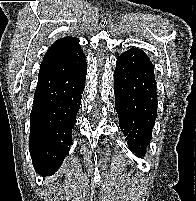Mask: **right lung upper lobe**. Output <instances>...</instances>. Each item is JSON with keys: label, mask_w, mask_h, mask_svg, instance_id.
I'll list each match as a JSON object with an SVG mask.
<instances>
[{"label": "right lung upper lobe", "mask_w": 196, "mask_h": 201, "mask_svg": "<svg viewBox=\"0 0 196 201\" xmlns=\"http://www.w3.org/2000/svg\"><path fill=\"white\" fill-rule=\"evenodd\" d=\"M85 54L79 45V40L70 36L55 41L46 52L43 61L68 59L82 60ZM42 61V62H43Z\"/></svg>", "instance_id": "1"}]
</instances>
